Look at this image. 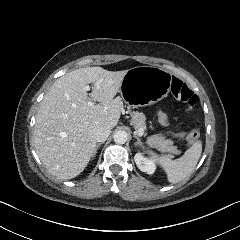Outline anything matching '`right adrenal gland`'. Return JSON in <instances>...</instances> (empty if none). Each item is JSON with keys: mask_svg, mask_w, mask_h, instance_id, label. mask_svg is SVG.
<instances>
[{"mask_svg": "<svg viewBox=\"0 0 240 240\" xmlns=\"http://www.w3.org/2000/svg\"><path fill=\"white\" fill-rule=\"evenodd\" d=\"M103 144V142H101V143H98L96 146H95V149H94V151H93V153H92V157H94L95 156V154L97 153V151H98V148L101 146Z\"/></svg>", "mask_w": 240, "mask_h": 240, "instance_id": "obj_1", "label": "right adrenal gland"}]
</instances>
